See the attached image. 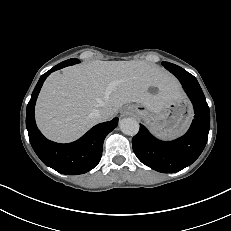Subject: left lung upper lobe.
Wrapping results in <instances>:
<instances>
[{
    "label": "left lung upper lobe",
    "instance_id": "5c2ea615",
    "mask_svg": "<svg viewBox=\"0 0 231 231\" xmlns=\"http://www.w3.org/2000/svg\"><path fill=\"white\" fill-rule=\"evenodd\" d=\"M162 64H163V66L166 67V68L171 67V68H175V69H176V68L179 67V66H177V65H174V64L168 63V62H163Z\"/></svg>",
    "mask_w": 231,
    "mask_h": 231
}]
</instances>
